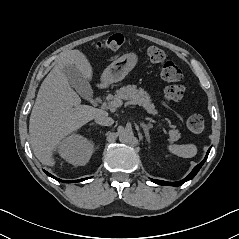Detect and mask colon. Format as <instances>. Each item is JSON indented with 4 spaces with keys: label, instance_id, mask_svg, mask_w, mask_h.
<instances>
[{
    "label": "colon",
    "instance_id": "obj_1",
    "mask_svg": "<svg viewBox=\"0 0 239 239\" xmlns=\"http://www.w3.org/2000/svg\"><path fill=\"white\" fill-rule=\"evenodd\" d=\"M125 39L122 35L115 34L107 39L97 42L94 47L101 51H117L123 48ZM147 55L153 63L161 65L160 74L168 85L164 89L163 97L164 102L172 104L180 101L185 94V87L181 83L182 71L180 67L172 60L166 57V54L161 49L151 46L147 49ZM188 129L199 134L205 128L204 118L199 114H193L187 119Z\"/></svg>",
    "mask_w": 239,
    "mask_h": 239
}]
</instances>
